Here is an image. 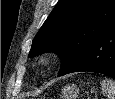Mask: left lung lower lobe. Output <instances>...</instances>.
Listing matches in <instances>:
<instances>
[{
	"label": "left lung lower lobe",
	"mask_w": 115,
	"mask_h": 99,
	"mask_svg": "<svg viewBox=\"0 0 115 99\" xmlns=\"http://www.w3.org/2000/svg\"><path fill=\"white\" fill-rule=\"evenodd\" d=\"M78 71L98 72L115 78V24L82 55L66 74Z\"/></svg>",
	"instance_id": "left-lung-lower-lobe-1"
}]
</instances>
